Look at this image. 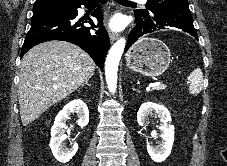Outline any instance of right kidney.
<instances>
[{
    "instance_id": "ca27d5eb",
    "label": "right kidney",
    "mask_w": 227,
    "mask_h": 166,
    "mask_svg": "<svg viewBox=\"0 0 227 166\" xmlns=\"http://www.w3.org/2000/svg\"><path fill=\"white\" fill-rule=\"evenodd\" d=\"M77 114V123L80 127H85L89 123V111L87 105L80 99L69 102L58 113L51 128L50 148L53 156L60 163H67L72 159L78 150V144L75 142L70 149H65L63 142L67 138L65 135L66 120L71 114Z\"/></svg>"
}]
</instances>
